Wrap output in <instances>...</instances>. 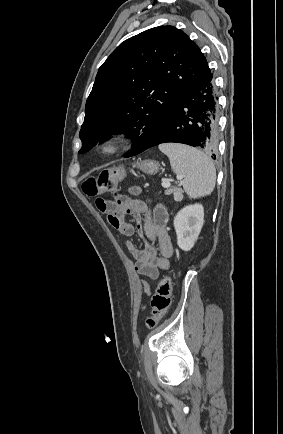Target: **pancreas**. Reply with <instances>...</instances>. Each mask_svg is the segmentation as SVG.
Masks as SVG:
<instances>
[{
  "mask_svg": "<svg viewBox=\"0 0 283 434\" xmlns=\"http://www.w3.org/2000/svg\"><path fill=\"white\" fill-rule=\"evenodd\" d=\"M172 193L175 195L176 199H181L182 198L183 191L181 189H179V188H170V189H167L165 191L166 195H170Z\"/></svg>",
  "mask_w": 283,
  "mask_h": 434,
  "instance_id": "1",
  "label": "pancreas"
}]
</instances>
